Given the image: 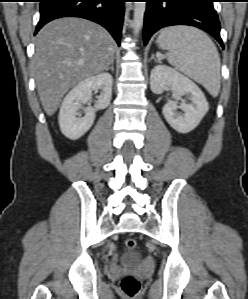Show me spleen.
Returning a JSON list of instances; mask_svg holds the SVG:
<instances>
[{
    "label": "spleen",
    "instance_id": "1",
    "mask_svg": "<svg viewBox=\"0 0 248 299\" xmlns=\"http://www.w3.org/2000/svg\"><path fill=\"white\" fill-rule=\"evenodd\" d=\"M168 51L167 60L180 72L201 84L213 97L220 92V57L213 41L190 26L164 28L157 40Z\"/></svg>",
    "mask_w": 248,
    "mask_h": 299
}]
</instances>
